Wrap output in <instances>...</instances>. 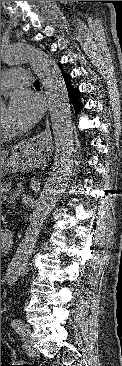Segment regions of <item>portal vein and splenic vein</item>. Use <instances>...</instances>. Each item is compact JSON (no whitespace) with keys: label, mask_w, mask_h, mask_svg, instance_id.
<instances>
[{"label":"portal vein and splenic vein","mask_w":122,"mask_h":366,"mask_svg":"<svg viewBox=\"0 0 122 366\" xmlns=\"http://www.w3.org/2000/svg\"><path fill=\"white\" fill-rule=\"evenodd\" d=\"M18 195V193L17 194H13L12 196H10V197H8L7 198V201L8 202H13L14 201V199H15V197Z\"/></svg>","instance_id":"obj_1"}]
</instances>
